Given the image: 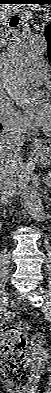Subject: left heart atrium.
Returning <instances> with one entry per match:
<instances>
[{"label":"left heart atrium","instance_id":"obj_1","mask_svg":"<svg viewBox=\"0 0 51 393\" xmlns=\"http://www.w3.org/2000/svg\"><path fill=\"white\" fill-rule=\"evenodd\" d=\"M50 105L47 100H42L36 111L29 114V118L39 126H45L49 120Z\"/></svg>","mask_w":51,"mask_h":393}]
</instances>
